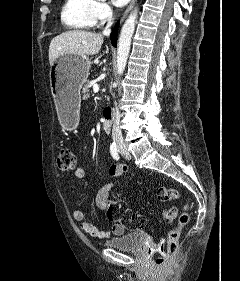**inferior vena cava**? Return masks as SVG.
Here are the masks:
<instances>
[{
  "instance_id": "inferior-vena-cava-1",
  "label": "inferior vena cava",
  "mask_w": 240,
  "mask_h": 281,
  "mask_svg": "<svg viewBox=\"0 0 240 281\" xmlns=\"http://www.w3.org/2000/svg\"><path fill=\"white\" fill-rule=\"evenodd\" d=\"M112 17L109 18L106 28L103 31V35L109 36L111 32ZM120 112L116 107L113 109V128H112V139L117 144H123V136L120 129Z\"/></svg>"
}]
</instances>
